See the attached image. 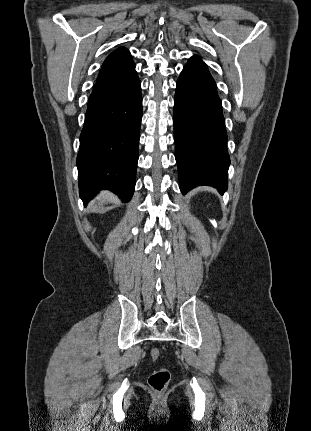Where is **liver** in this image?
Instances as JSON below:
<instances>
[{
    "label": "liver",
    "mask_w": 311,
    "mask_h": 431,
    "mask_svg": "<svg viewBox=\"0 0 311 431\" xmlns=\"http://www.w3.org/2000/svg\"><path fill=\"white\" fill-rule=\"evenodd\" d=\"M106 196L107 194H101L100 198H98V200H95L94 204H96V206H101V204H106V202H108Z\"/></svg>",
    "instance_id": "obj_1"
}]
</instances>
